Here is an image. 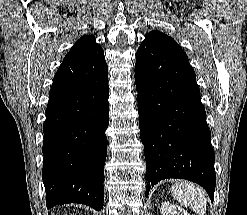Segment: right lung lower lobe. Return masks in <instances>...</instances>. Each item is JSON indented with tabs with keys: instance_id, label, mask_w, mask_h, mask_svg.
Returning a JSON list of instances; mask_svg holds the SVG:
<instances>
[{
	"instance_id": "right-lung-lower-lobe-1",
	"label": "right lung lower lobe",
	"mask_w": 247,
	"mask_h": 215,
	"mask_svg": "<svg viewBox=\"0 0 247 215\" xmlns=\"http://www.w3.org/2000/svg\"><path fill=\"white\" fill-rule=\"evenodd\" d=\"M108 67L103 50L64 58L53 80L43 126L47 208L104 203Z\"/></svg>"
}]
</instances>
